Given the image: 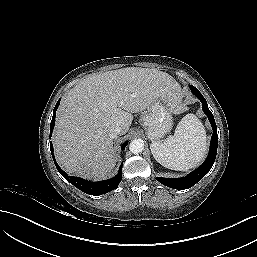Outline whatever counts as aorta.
Instances as JSON below:
<instances>
[{
    "label": "aorta",
    "instance_id": "1",
    "mask_svg": "<svg viewBox=\"0 0 257 257\" xmlns=\"http://www.w3.org/2000/svg\"><path fill=\"white\" fill-rule=\"evenodd\" d=\"M129 149L133 154H139L144 150V142L141 139H135L129 144Z\"/></svg>",
    "mask_w": 257,
    "mask_h": 257
}]
</instances>
